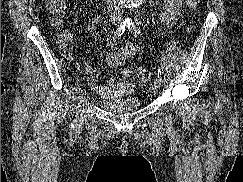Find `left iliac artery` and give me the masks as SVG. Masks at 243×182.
<instances>
[{
    "mask_svg": "<svg viewBox=\"0 0 243 182\" xmlns=\"http://www.w3.org/2000/svg\"><path fill=\"white\" fill-rule=\"evenodd\" d=\"M128 28H129V30L131 31V33H132L135 37L141 35L140 30L136 27V25H135L134 23H132V22L129 23V24H128ZM158 78H160V80H161V70H160V69H158Z\"/></svg>",
    "mask_w": 243,
    "mask_h": 182,
    "instance_id": "obj_1",
    "label": "left iliac artery"
}]
</instances>
